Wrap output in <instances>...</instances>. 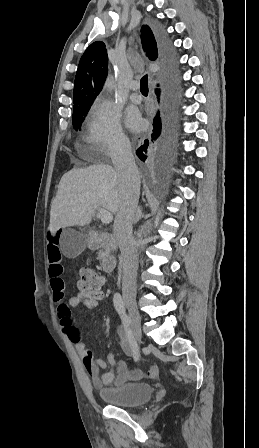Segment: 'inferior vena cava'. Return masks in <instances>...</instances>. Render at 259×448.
I'll use <instances>...</instances> for the list:
<instances>
[{"mask_svg":"<svg viewBox=\"0 0 259 448\" xmlns=\"http://www.w3.org/2000/svg\"><path fill=\"white\" fill-rule=\"evenodd\" d=\"M112 162L120 182V204L114 220V234L123 266L122 292L125 304L135 302L138 254L132 236V224L140 194V174L127 138H118L112 150Z\"/></svg>","mask_w":259,"mask_h":448,"instance_id":"inferior-vena-cava-1","label":"inferior vena cava"}]
</instances>
